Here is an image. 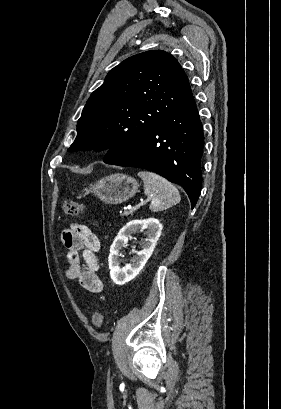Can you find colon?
<instances>
[{
    "mask_svg": "<svg viewBox=\"0 0 281 409\" xmlns=\"http://www.w3.org/2000/svg\"><path fill=\"white\" fill-rule=\"evenodd\" d=\"M63 210L66 215L77 217L80 214L81 207L77 202L66 200L63 204ZM104 316L101 310H96L93 313L92 325L96 329H100L103 325Z\"/></svg>",
    "mask_w": 281,
    "mask_h": 409,
    "instance_id": "5ec220e1",
    "label": "colon"
}]
</instances>
